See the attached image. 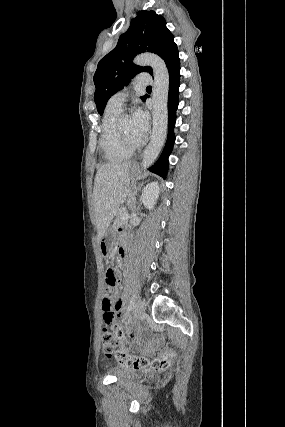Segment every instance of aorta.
<instances>
[{"label": "aorta", "mask_w": 285, "mask_h": 427, "mask_svg": "<svg viewBox=\"0 0 285 427\" xmlns=\"http://www.w3.org/2000/svg\"><path fill=\"white\" fill-rule=\"evenodd\" d=\"M134 63L139 66H150L153 70V129L151 140L142 158V167L148 168L158 157L167 134L168 125V92H169V72L165 62L157 55L143 53L137 55Z\"/></svg>", "instance_id": "obj_1"}]
</instances>
